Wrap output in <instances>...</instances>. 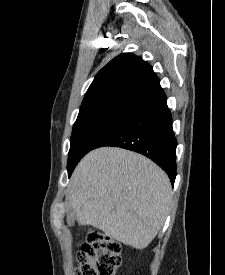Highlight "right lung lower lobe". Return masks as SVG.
I'll return each instance as SVG.
<instances>
[{
  "label": "right lung lower lobe",
  "mask_w": 225,
  "mask_h": 275,
  "mask_svg": "<svg viewBox=\"0 0 225 275\" xmlns=\"http://www.w3.org/2000/svg\"><path fill=\"white\" fill-rule=\"evenodd\" d=\"M167 98L148 104L114 126L94 147L116 146L141 153L157 163L174 184L177 141Z\"/></svg>",
  "instance_id": "obj_1"
}]
</instances>
